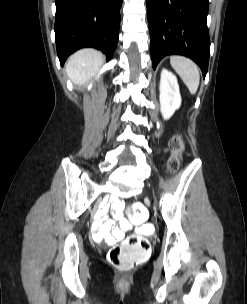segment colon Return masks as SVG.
Listing matches in <instances>:
<instances>
[{"label":"colon","mask_w":247,"mask_h":304,"mask_svg":"<svg viewBox=\"0 0 247 304\" xmlns=\"http://www.w3.org/2000/svg\"><path fill=\"white\" fill-rule=\"evenodd\" d=\"M170 150L169 168L171 171H175L180 164L183 150L181 138L172 139ZM127 211V215L130 217L129 225H142V227H136V234L128 236L123 242L113 246L107 254L109 264L124 272L139 265L145 259H149L152 247L146 237L155 238L157 236L153 224H146V221L149 220L146 202H129Z\"/></svg>","instance_id":"5ec220e1"}]
</instances>
